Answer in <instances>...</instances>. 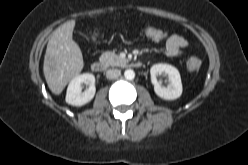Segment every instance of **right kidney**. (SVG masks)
<instances>
[{
    "instance_id": "obj_1",
    "label": "right kidney",
    "mask_w": 248,
    "mask_h": 165,
    "mask_svg": "<svg viewBox=\"0 0 248 165\" xmlns=\"http://www.w3.org/2000/svg\"><path fill=\"white\" fill-rule=\"evenodd\" d=\"M86 83L89 88L82 92V84ZM95 77L91 73L75 76L69 83L66 93V102L73 106H82L90 102L95 95Z\"/></svg>"
}]
</instances>
